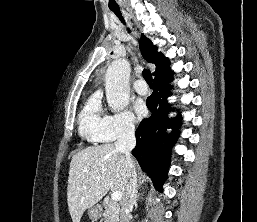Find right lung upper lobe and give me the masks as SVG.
I'll list each match as a JSON object with an SVG mask.
<instances>
[{"mask_svg":"<svg viewBox=\"0 0 257 222\" xmlns=\"http://www.w3.org/2000/svg\"><path fill=\"white\" fill-rule=\"evenodd\" d=\"M139 46L144 59L149 63L155 64L156 70L153 73L155 77L170 71L168 58L164 57L161 52H157V47L143 34L139 41Z\"/></svg>","mask_w":257,"mask_h":222,"instance_id":"right-lung-upper-lobe-1","label":"right lung upper lobe"}]
</instances>
